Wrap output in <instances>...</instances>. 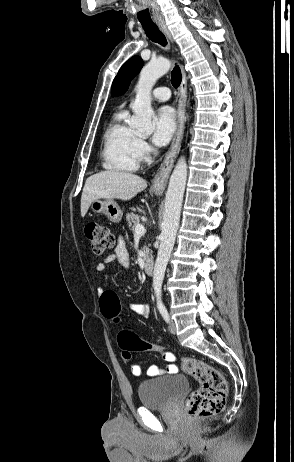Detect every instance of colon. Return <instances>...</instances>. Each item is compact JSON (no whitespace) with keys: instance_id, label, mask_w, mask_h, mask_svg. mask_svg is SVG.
I'll return each mask as SVG.
<instances>
[{"instance_id":"5ec220e1","label":"colon","mask_w":294,"mask_h":462,"mask_svg":"<svg viewBox=\"0 0 294 462\" xmlns=\"http://www.w3.org/2000/svg\"><path fill=\"white\" fill-rule=\"evenodd\" d=\"M84 230L95 254L101 255L114 245L115 239L109 228L95 222H89L85 225ZM100 308L105 318L119 323L121 305L118 295L114 291H103L100 296ZM117 340L122 354L128 360L131 359L132 352L160 353L159 346L144 341L127 330H121ZM181 365L183 370L200 385L186 400L187 415L191 418H202L222 412L226 404L227 383L221 372L196 358H183Z\"/></svg>"}]
</instances>
